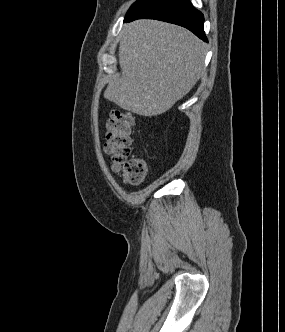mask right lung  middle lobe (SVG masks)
Here are the masks:
<instances>
[{"label": "right lung middle lobe", "mask_w": 285, "mask_h": 332, "mask_svg": "<svg viewBox=\"0 0 285 332\" xmlns=\"http://www.w3.org/2000/svg\"><path fill=\"white\" fill-rule=\"evenodd\" d=\"M149 0H137L135 3L132 4L130 9L128 10L126 17L130 16L133 14L135 11H137L139 8H141L144 4H146Z\"/></svg>", "instance_id": "obj_1"}]
</instances>
